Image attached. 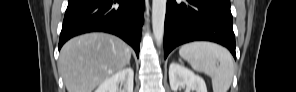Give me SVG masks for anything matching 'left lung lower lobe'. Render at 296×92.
Wrapping results in <instances>:
<instances>
[{
  "label": "left lung lower lobe",
  "instance_id": "left-lung-lower-lobe-1",
  "mask_svg": "<svg viewBox=\"0 0 296 92\" xmlns=\"http://www.w3.org/2000/svg\"><path fill=\"white\" fill-rule=\"evenodd\" d=\"M197 40L219 43L236 59L230 0L167 1L164 57L178 45Z\"/></svg>",
  "mask_w": 296,
  "mask_h": 92
}]
</instances>
